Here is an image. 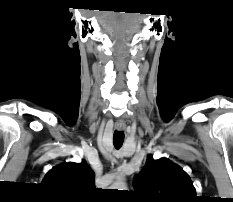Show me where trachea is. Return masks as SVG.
<instances>
[{
  "label": "trachea",
  "mask_w": 233,
  "mask_h": 202,
  "mask_svg": "<svg viewBox=\"0 0 233 202\" xmlns=\"http://www.w3.org/2000/svg\"><path fill=\"white\" fill-rule=\"evenodd\" d=\"M124 142V132L115 131L113 135V144L116 149H119Z\"/></svg>",
  "instance_id": "obj_1"
}]
</instances>
